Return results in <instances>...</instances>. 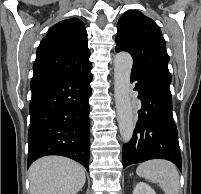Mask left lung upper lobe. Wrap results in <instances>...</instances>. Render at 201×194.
Instances as JSON below:
<instances>
[{
    "mask_svg": "<svg viewBox=\"0 0 201 194\" xmlns=\"http://www.w3.org/2000/svg\"><path fill=\"white\" fill-rule=\"evenodd\" d=\"M115 51H127L133 57L132 71L172 80L169 56L159 26L137 10L126 11L118 20Z\"/></svg>",
    "mask_w": 201,
    "mask_h": 194,
    "instance_id": "5c2ea615",
    "label": "left lung upper lobe"
}]
</instances>
